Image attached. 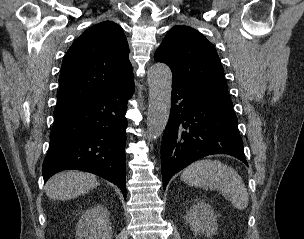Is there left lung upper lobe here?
<instances>
[{"instance_id": "left-lung-upper-lobe-1", "label": "left lung upper lobe", "mask_w": 304, "mask_h": 239, "mask_svg": "<svg viewBox=\"0 0 304 239\" xmlns=\"http://www.w3.org/2000/svg\"><path fill=\"white\" fill-rule=\"evenodd\" d=\"M154 59L170 67L172 83L232 105L217 51L197 30L187 26L171 28Z\"/></svg>"}]
</instances>
